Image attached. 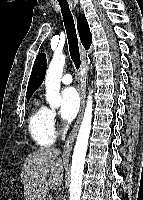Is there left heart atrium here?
<instances>
[{"label": "left heart atrium", "mask_w": 143, "mask_h": 200, "mask_svg": "<svg viewBox=\"0 0 143 200\" xmlns=\"http://www.w3.org/2000/svg\"><path fill=\"white\" fill-rule=\"evenodd\" d=\"M80 106L78 92L73 87L65 88L61 93L60 115L64 121H71L76 116Z\"/></svg>", "instance_id": "1"}]
</instances>
